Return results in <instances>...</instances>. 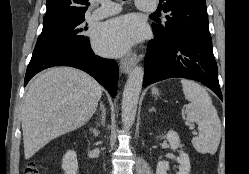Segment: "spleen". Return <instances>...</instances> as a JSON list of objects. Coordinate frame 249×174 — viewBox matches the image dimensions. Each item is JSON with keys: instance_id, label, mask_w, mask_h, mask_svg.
<instances>
[{"instance_id": "spleen-1", "label": "spleen", "mask_w": 249, "mask_h": 174, "mask_svg": "<svg viewBox=\"0 0 249 174\" xmlns=\"http://www.w3.org/2000/svg\"><path fill=\"white\" fill-rule=\"evenodd\" d=\"M185 98L190 101L188 122L198 124L199 134L192 139L193 147L201 154H215L221 139V121L212 99L198 83L181 80Z\"/></svg>"}]
</instances>
